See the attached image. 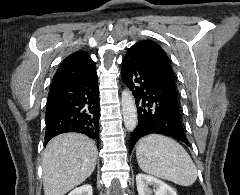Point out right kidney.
<instances>
[{
    "label": "right kidney",
    "mask_w": 240,
    "mask_h": 195,
    "mask_svg": "<svg viewBox=\"0 0 240 195\" xmlns=\"http://www.w3.org/2000/svg\"><path fill=\"white\" fill-rule=\"evenodd\" d=\"M68 195H93L92 185H90V183H85V185L75 187Z\"/></svg>",
    "instance_id": "1"
}]
</instances>
